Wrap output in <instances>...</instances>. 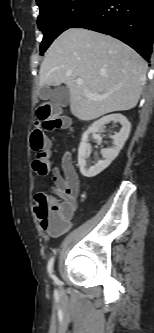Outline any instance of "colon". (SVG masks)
I'll list each match as a JSON object with an SVG mask.
<instances>
[{"instance_id":"1","label":"colon","mask_w":154,"mask_h":333,"mask_svg":"<svg viewBox=\"0 0 154 333\" xmlns=\"http://www.w3.org/2000/svg\"><path fill=\"white\" fill-rule=\"evenodd\" d=\"M36 114L38 121L31 133V148L35 152L33 170L44 176L49 172V140L46 132L66 128L68 120L59 115H52L51 109L40 105ZM34 212L41 228L49 234H58L68 225V214L62 203L48 193H39L35 197Z\"/></svg>"}]
</instances>
